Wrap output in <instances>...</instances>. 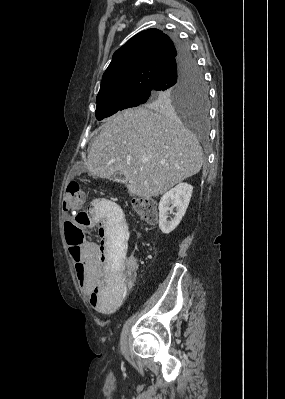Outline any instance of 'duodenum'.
Masks as SVG:
<instances>
[{
    "instance_id": "obj_1",
    "label": "duodenum",
    "mask_w": 285,
    "mask_h": 399,
    "mask_svg": "<svg viewBox=\"0 0 285 399\" xmlns=\"http://www.w3.org/2000/svg\"><path fill=\"white\" fill-rule=\"evenodd\" d=\"M108 216H109V215H108V213H107V212H105V214H104L103 218H104V219H107V218H108Z\"/></svg>"
}]
</instances>
